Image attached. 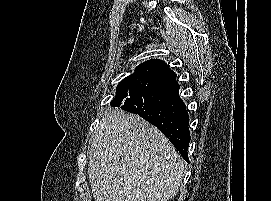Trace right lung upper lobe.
Returning a JSON list of instances; mask_svg holds the SVG:
<instances>
[{
  "instance_id": "right-lung-upper-lobe-1",
  "label": "right lung upper lobe",
  "mask_w": 271,
  "mask_h": 201,
  "mask_svg": "<svg viewBox=\"0 0 271 201\" xmlns=\"http://www.w3.org/2000/svg\"><path fill=\"white\" fill-rule=\"evenodd\" d=\"M161 60L159 59H151L148 60L144 63H141L140 65H138L135 69V71H148L150 72V69L155 66L156 64H158Z\"/></svg>"
}]
</instances>
